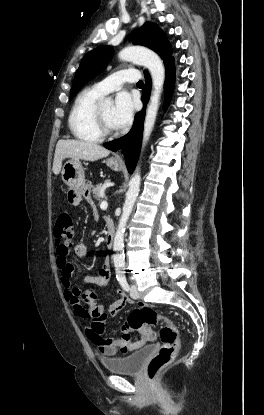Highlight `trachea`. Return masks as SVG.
Instances as JSON below:
<instances>
[{"instance_id": "trachea-1", "label": "trachea", "mask_w": 264, "mask_h": 415, "mask_svg": "<svg viewBox=\"0 0 264 415\" xmlns=\"http://www.w3.org/2000/svg\"><path fill=\"white\" fill-rule=\"evenodd\" d=\"M137 86H143V81H139L138 83H137Z\"/></svg>"}]
</instances>
